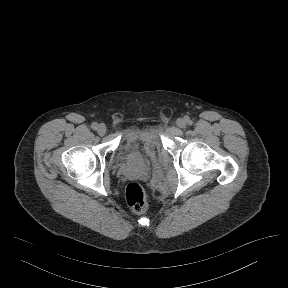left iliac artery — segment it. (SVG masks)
Segmentation results:
<instances>
[{"instance_id":"obj_1","label":"left iliac artery","mask_w":288,"mask_h":288,"mask_svg":"<svg viewBox=\"0 0 288 288\" xmlns=\"http://www.w3.org/2000/svg\"><path fill=\"white\" fill-rule=\"evenodd\" d=\"M186 122L188 123V125H192V120L189 117H186Z\"/></svg>"}]
</instances>
